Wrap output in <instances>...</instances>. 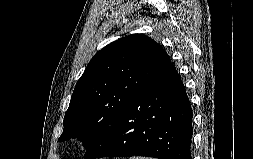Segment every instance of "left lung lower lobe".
<instances>
[{"label": "left lung lower lobe", "instance_id": "0a47b994", "mask_svg": "<svg viewBox=\"0 0 253 159\" xmlns=\"http://www.w3.org/2000/svg\"><path fill=\"white\" fill-rule=\"evenodd\" d=\"M192 109L185 87L170 63L128 103L92 159L147 156L191 159Z\"/></svg>", "mask_w": 253, "mask_h": 159}]
</instances>
